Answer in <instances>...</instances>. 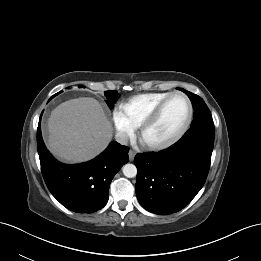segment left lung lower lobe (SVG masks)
Segmentation results:
<instances>
[{"instance_id": "1", "label": "left lung lower lobe", "mask_w": 261, "mask_h": 261, "mask_svg": "<svg viewBox=\"0 0 261 261\" xmlns=\"http://www.w3.org/2000/svg\"><path fill=\"white\" fill-rule=\"evenodd\" d=\"M214 133L212 129L190 128L169 148L135 156L136 195L144 209L167 215L190 203L206 181Z\"/></svg>"}]
</instances>
